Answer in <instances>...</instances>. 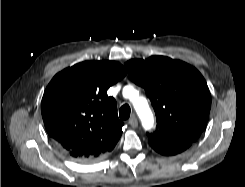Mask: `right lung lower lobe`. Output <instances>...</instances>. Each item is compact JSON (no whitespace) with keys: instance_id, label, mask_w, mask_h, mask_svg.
<instances>
[{"instance_id":"98d812e1","label":"right lung lower lobe","mask_w":245,"mask_h":187,"mask_svg":"<svg viewBox=\"0 0 245 187\" xmlns=\"http://www.w3.org/2000/svg\"><path fill=\"white\" fill-rule=\"evenodd\" d=\"M62 148V147H61ZM62 150H63V152L65 153V154H67L68 156H70L63 148H62ZM73 158V157H72ZM74 159H76V158H74ZM76 160H78V161H80V162H88V160H86V159H76Z\"/></svg>"}]
</instances>
